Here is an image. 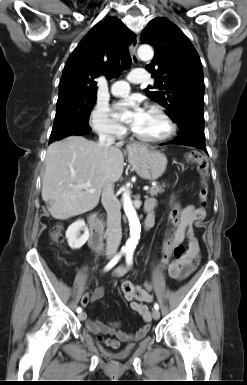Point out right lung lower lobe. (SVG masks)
<instances>
[{
    "mask_svg": "<svg viewBox=\"0 0 247 385\" xmlns=\"http://www.w3.org/2000/svg\"><path fill=\"white\" fill-rule=\"evenodd\" d=\"M91 131V128L89 125H84V124H73V125H68L65 127H62L60 129L52 131L49 139V144L56 141L63 139L67 136L70 135H84L87 134Z\"/></svg>",
    "mask_w": 247,
    "mask_h": 385,
    "instance_id": "98d812e1",
    "label": "right lung lower lobe"
}]
</instances>
